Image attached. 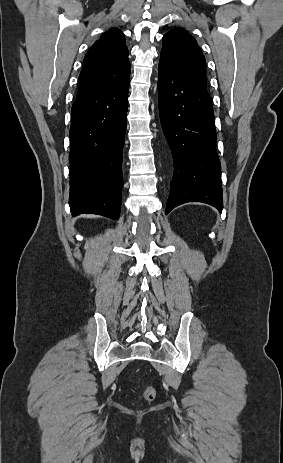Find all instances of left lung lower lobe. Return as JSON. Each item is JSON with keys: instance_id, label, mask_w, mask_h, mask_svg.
Here are the masks:
<instances>
[{"instance_id": "left-lung-lower-lobe-1", "label": "left lung lower lobe", "mask_w": 283, "mask_h": 463, "mask_svg": "<svg viewBox=\"0 0 283 463\" xmlns=\"http://www.w3.org/2000/svg\"><path fill=\"white\" fill-rule=\"evenodd\" d=\"M160 121L171 150L174 174L166 211L186 202L223 208L212 100L169 65L158 67Z\"/></svg>"}]
</instances>
